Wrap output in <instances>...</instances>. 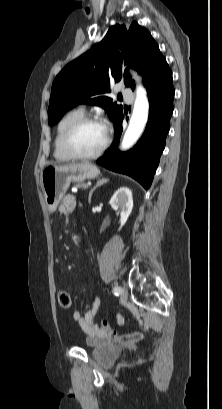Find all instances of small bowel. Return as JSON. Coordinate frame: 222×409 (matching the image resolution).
<instances>
[{"mask_svg":"<svg viewBox=\"0 0 222 409\" xmlns=\"http://www.w3.org/2000/svg\"><path fill=\"white\" fill-rule=\"evenodd\" d=\"M76 208V199L73 195H67L60 203L58 210L60 213L69 214ZM99 306V298L94 296L91 306L83 316L79 311L73 312V319L77 321L82 330L87 334L86 342L90 346L107 343L109 337L107 333L98 325L94 324L93 318ZM118 324L123 323V318L120 314L117 315Z\"/></svg>","mask_w":222,"mask_h":409,"instance_id":"1","label":"small bowel"}]
</instances>
